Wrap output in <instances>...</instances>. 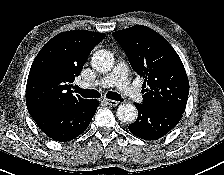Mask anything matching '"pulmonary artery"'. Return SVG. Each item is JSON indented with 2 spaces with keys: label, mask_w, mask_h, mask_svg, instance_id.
Masks as SVG:
<instances>
[{
  "label": "pulmonary artery",
  "mask_w": 224,
  "mask_h": 175,
  "mask_svg": "<svg viewBox=\"0 0 224 175\" xmlns=\"http://www.w3.org/2000/svg\"><path fill=\"white\" fill-rule=\"evenodd\" d=\"M79 86L81 88H108L115 86L129 99L136 102L142 101V94L137 87L130 83L127 66L122 62L118 63L114 69L103 78L92 83L81 82Z\"/></svg>",
  "instance_id": "pulmonary-artery-1"
}]
</instances>
